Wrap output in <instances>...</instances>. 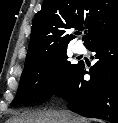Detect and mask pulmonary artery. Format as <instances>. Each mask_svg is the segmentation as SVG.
Listing matches in <instances>:
<instances>
[{
	"instance_id": "obj_1",
	"label": "pulmonary artery",
	"mask_w": 118,
	"mask_h": 123,
	"mask_svg": "<svg viewBox=\"0 0 118 123\" xmlns=\"http://www.w3.org/2000/svg\"><path fill=\"white\" fill-rule=\"evenodd\" d=\"M73 50L77 54H82L85 52V47L82 44L77 43L74 45Z\"/></svg>"
}]
</instances>
